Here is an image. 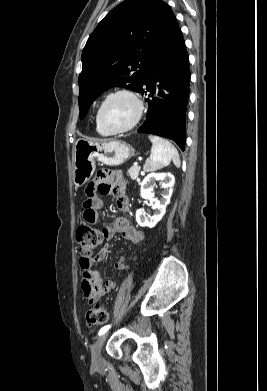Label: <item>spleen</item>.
<instances>
[{
	"instance_id": "obj_1",
	"label": "spleen",
	"mask_w": 267,
	"mask_h": 391,
	"mask_svg": "<svg viewBox=\"0 0 267 391\" xmlns=\"http://www.w3.org/2000/svg\"><path fill=\"white\" fill-rule=\"evenodd\" d=\"M152 142L150 157L144 164L145 172H153L166 167L173 161L176 167H180V157L177 149L168 141L158 136L149 135Z\"/></svg>"
}]
</instances>
